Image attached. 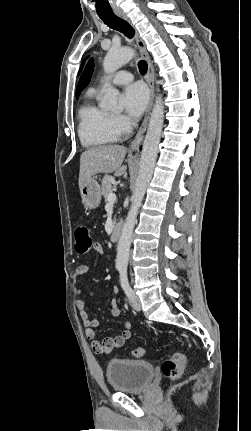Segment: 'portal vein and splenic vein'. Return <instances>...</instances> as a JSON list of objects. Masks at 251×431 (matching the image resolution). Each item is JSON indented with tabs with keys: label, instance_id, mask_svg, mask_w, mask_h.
I'll return each mask as SVG.
<instances>
[{
	"label": "portal vein and splenic vein",
	"instance_id": "18ae733b",
	"mask_svg": "<svg viewBox=\"0 0 251 431\" xmlns=\"http://www.w3.org/2000/svg\"><path fill=\"white\" fill-rule=\"evenodd\" d=\"M117 200L116 194L115 193H110L108 196V201L109 203L113 204L115 203Z\"/></svg>",
	"mask_w": 251,
	"mask_h": 431
}]
</instances>
